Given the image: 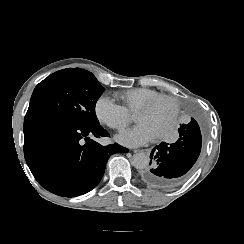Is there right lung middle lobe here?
Masks as SVG:
<instances>
[{"label":"right lung middle lobe","instance_id":"obj_1","mask_svg":"<svg viewBox=\"0 0 244 244\" xmlns=\"http://www.w3.org/2000/svg\"><path fill=\"white\" fill-rule=\"evenodd\" d=\"M103 91L89 71L60 70L35 87L27 114H48L82 126L98 125L95 104Z\"/></svg>","mask_w":244,"mask_h":244}]
</instances>
